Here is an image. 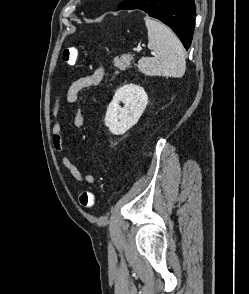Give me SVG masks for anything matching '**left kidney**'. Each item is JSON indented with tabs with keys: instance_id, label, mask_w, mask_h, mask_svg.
Wrapping results in <instances>:
<instances>
[{
	"instance_id": "5707ae66",
	"label": "left kidney",
	"mask_w": 249,
	"mask_h": 294,
	"mask_svg": "<svg viewBox=\"0 0 249 294\" xmlns=\"http://www.w3.org/2000/svg\"><path fill=\"white\" fill-rule=\"evenodd\" d=\"M121 101L123 107L119 105ZM147 104L148 95L143 87L135 84L120 87L107 108L106 126L115 135L124 134L138 122Z\"/></svg>"
}]
</instances>
